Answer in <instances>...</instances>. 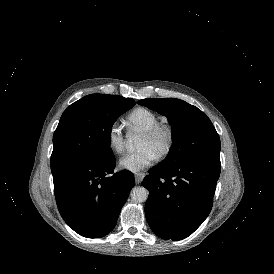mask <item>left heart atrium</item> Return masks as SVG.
I'll return each instance as SVG.
<instances>
[{"label":"left heart atrium","instance_id":"obj_1","mask_svg":"<svg viewBox=\"0 0 274 274\" xmlns=\"http://www.w3.org/2000/svg\"><path fill=\"white\" fill-rule=\"evenodd\" d=\"M156 154L149 148H140L134 152L123 154L118 159V168L125 171L139 172L155 161Z\"/></svg>","mask_w":274,"mask_h":274}]
</instances>
